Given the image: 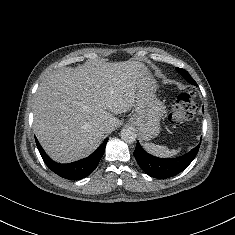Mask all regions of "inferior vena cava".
Segmentation results:
<instances>
[{
    "instance_id": "602c4592",
    "label": "inferior vena cava",
    "mask_w": 235,
    "mask_h": 235,
    "mask_svg": "<svg viewBox=\"0 0 235 235\" xmlns=\"http://www.w3.org/2000/svg\"><path fill=\"white\" fill-rule=\"evenodd\" d=\"M106 127H107V125H106V124H104V125L102 126V129H106Z\"/></svg>"
}]
</instances>
